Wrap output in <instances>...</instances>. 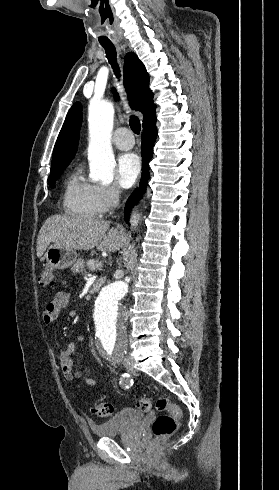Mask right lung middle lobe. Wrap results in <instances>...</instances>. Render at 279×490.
<instances>
[{
	"instance_id": "1",
	"label": "right lung middle lobe",
	"mask_w": 279,
	"mask_h": 490,
	"mask_svg": "<svg viewBox=\"0 0 279 490\" xmlns=\"http://www.w3.org/2000/svg\"><path fill=\"white\" fill-rule=\"evenodd\" d=\"M66 166H62L57 169L51 170L49 180H48L50 187L52 188L55 187V181L59 178V176L61 175L62 171L66 168Z\"/></svg>"
}]
</instances>
